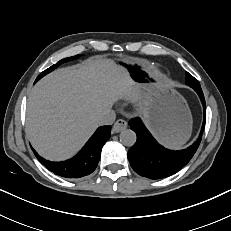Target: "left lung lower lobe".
<instances>
[{"label": "left lung lower lobe", "instance_id": "1", "mask_svg": "<svg viewBox=\"0 0 231 231\" xmlns=\"http://www.w3.org/2000/svg\"><path fill=\"white\" fill-rule=\"evenodd\" d=\"M204 108V120L196 142L184 150L173 151L164 148L152 137L139 118L129 121L130 128L137 134L136 143L128 151V159L133 170L149 179H161L181 170L193 157L205 127V99L203 92L196 90Z\"/></svg>", "mask_w": 231, "mask_h": 231}]
</instances>
